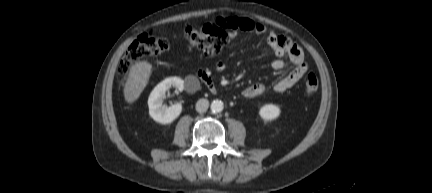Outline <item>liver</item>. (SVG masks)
<instances>
[{"label": "liver", "mask_w": 432, "mask_h": 193, "mask_svg": "<svg viewBox=\"0 0 432 193\" xmlns=\"http://www.w3.org/2000/svg\"><path fill=\"white\" fill-rule=\"evenodd\" d=\"M151 65L146 61L137 62L132 66L124 86V98L129 104L135 102L148 83Z\"/></svg>", "instance_id": "liver-1"}]
</instances>
